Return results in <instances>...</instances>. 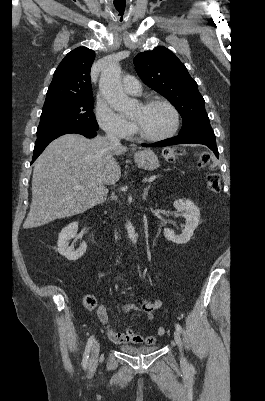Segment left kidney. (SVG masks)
I'll return each mask as SVG.
<instances>
[{
  "label": "left kidney",
  "mask_w": 265,
  "mask_h": 401,
  "mask_svg": "<svg viewBox=\"0 0 265 401\" xmlns=\"http://www.w3.org/2000/svg\"><path fill=\"white\" fill-rule=\"evenodd\" d=\"M174 207L183 213V217L186 219L185 229H183L182 235H175L170 229H164V237L167 241L183 245V243L190 241L196 227H198L200 211L192 201H188V198L187 201H184V198H179V201H175Z\"/></svg>",
  "instance_id": "obj_1"
}]
</instances>
